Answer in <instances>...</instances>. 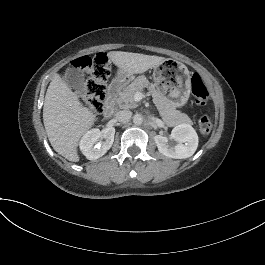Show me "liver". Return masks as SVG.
<instances>
[{"label":"liver","mask_w":265,"mask_h":265,"mask_svg":"<svg viewBox=\"0 0 265 265\" xmlns=\"http://www.w3.org/2000/svg\"><path fill=\"white\" fill-rule=\"evenodd\" d=\"M107 56L120 71L129 75L144 73L165 61L164 57L122 51H111ZM94 121L95 115L82 106L59 75H54L43 106V122L54 150L69 161H79V139Z\"/></svg>","instance_id":"obj_1"}]
</instances>
